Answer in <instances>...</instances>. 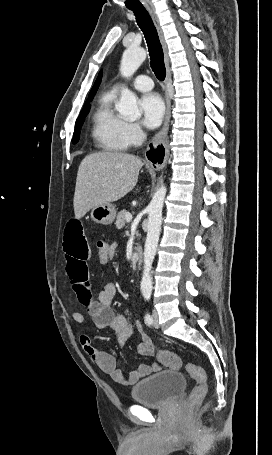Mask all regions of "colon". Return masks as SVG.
Returning a JSON list of instances; mask_svg holds the SVG:
<instances>
[{
    "label": "colon",
    "mask_w": 272,
    "mask_h": 455,
    "mask_svg": "<svg viewBox=\"0 0 272 455\" xmlns=\"http://www.w3.org/2000/svg\"><path fill=\"white\" fill-rule=\"evenodd\" d=\"M97 248L99 263L102 267H105L111 259L109 243L106 240L101 239L97 242ZM158 357L159 360L170 369L179 370L182 367L180 357L171 351L162 350L159 352ZM185 368L190 377L196 381V385L188 397L186 406L187 412L192 413L206 395L207 374L202 367L193 363H188Z\"/></svg>",
    "instance_id": "5ec220e1"
}]
</instances>
